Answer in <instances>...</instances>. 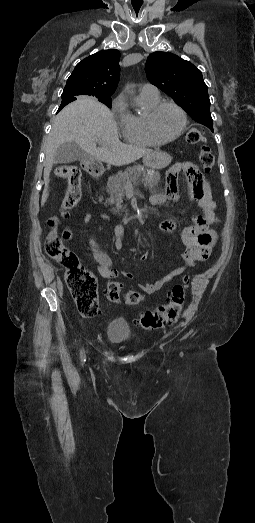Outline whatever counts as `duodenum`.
<instances>
[{
  "label": "duodenum",
  "instance_id": "duodenum-1",
  "mask_svg": "<svg viewBox=\"0 0 255 523\" xmlns=\"http://www.w3.org/2000/svg\"><path fill=\"white\" fill-rule=\"evenodd\" d=\"M83 168L89 175L95 178L100 177L105 171L104 165L94 157L86 158L83 162Z\"/></svg>",
  "mask_w": 255,
  "mask_h": 523
}]
</instances>
